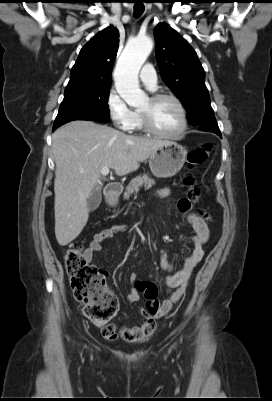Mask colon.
Segmentation results:
<instances>
[{"label": "colon", "mask_w": 272, "mask_h": 401, "mask_svg": "<svg viewBox=\"0 0 272 401\" xmlns=\"http://www.w3.org/2000/svg\"><path fill=\"white\" fill-rule=\"evenodd\" d=\"M212 149L210 143L201 144L188 153V164L191 168L202 164L208 158ZM184 184L189 188L188 200L196 201L200 189L195 178L188 174ZM65 269L70 278V286L76 301L84 305L85 316L96 326L102 327L103 335H112L110 321L118 309L117 298L105 287L104 274L97 267L90 265L81 247L71 245L65 253ZM156 286L152 282L138 283V289L147 298L143 315L157 312L158 305L150 303L157 296Z\"/></svg>", "instance_id": "5ec220e1"}]
</instances>
